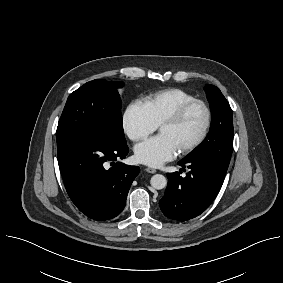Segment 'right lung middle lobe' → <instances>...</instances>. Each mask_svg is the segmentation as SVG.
I'll use <instances>...</instances> for the list:
<instances>
[{
	"instance_id": "1",
	"label": "right lung middle lobe",
	"mask_w": 283,
	"mask_h": 283,
	"mask_svg": "<svg viewBox=\"0 0 283 283\" xmlns=\"http://www.w3.org/2000/svg\"><path fill=\"white\" fill-rule=\"evenodd\" d=\"M123 85V82L95 79L71 93L58 123L57 147L88 131L125 142L121 99L117 91Z\"/></svg>"
}]
</instances>
